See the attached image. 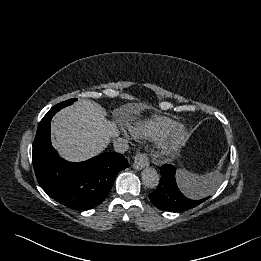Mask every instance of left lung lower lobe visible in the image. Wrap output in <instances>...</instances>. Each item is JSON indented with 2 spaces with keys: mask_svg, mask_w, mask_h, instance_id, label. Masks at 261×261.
<instances>
[{
  "mask_svg": "<svg viewBox=\"0 0 261 261\" xmlns=\"http://www.w3.org/2000/svg\"><path fill=\"white\" fill-rule=\"evenodd\" d=\"M160 173L161 180L157 189L149 194L150 200L158 209L170 212L186 211L209 198H191V195H202L206 190L195 185L182 186L173 165L161 166Z\"/></svg>",
  "mask_w": 261,
  "mask_h": 261,
  "instance_id": "1",
  "label": "left lung lower lobe"
}]
</instances>
